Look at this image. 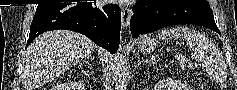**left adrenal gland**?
I'll return each mask as SVG.
<instances>
[{"label": "left adrenal gland", "instance_id": "obj_1", "mask_svg": "<svg viewBox=\"0 0 237 90\" xmlns=\"http://www.w3.org/2000/svg\"><path fill=\"white\" fill-rule=\"evenodd\" d=\"M141 64H144V60H142V58H140V56H138V58H137V66H141Z\"/></svg>", "mask_w": 237, "mask_h": 90}]
</instances>
